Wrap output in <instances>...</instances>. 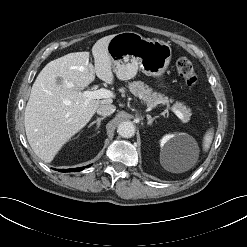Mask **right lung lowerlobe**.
Segmentation results:
<instances>
[{"instance_id": "98d812e1", "label": "right lung lower lobe", "mask_w": 247, "mask_h": 247, "mask_svg": "<svg viewBox=\"0 0 247 247\" xmlns=\"http://www.w3.org/2000/svg\"><path fill=\"white\" fill-rule=\"evenodd\" d=\"M90 165H88V167H89ZM85 167H81V168H74V169H59V171H61V172H73V171H81V170H83Z\"/></svg>"}]
</instances>
